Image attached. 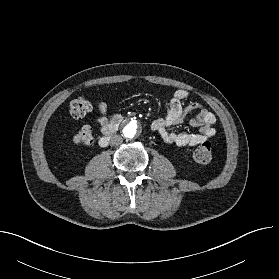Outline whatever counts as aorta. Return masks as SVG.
<instances>
[{"instance_id":"1","label":"aorta","mask_w":279,"mask_h":279,"mask_svg":"<svg viewBox=\"0 0 279 279\" xmlns=\"http://www.w3.org/2000/svg\"><path fill=\"white\" fill-rule=\"evenodd\" d=\"M139 125L135 120H128L122 125L121 132L124 137L132 139L139 133Z\"/></svg>"}]
</instances>
